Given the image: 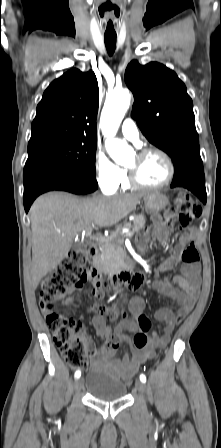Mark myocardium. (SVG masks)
I'll list each match as a JSON object with an SVG mask.
<instances>
[{
  "mask_svg": "<svg viewBox=\"0 0 221 448\" xmlns=\"http://www.w3.org/2000/svg\"><path fill=\"white\" fill-rule=\"evenodd\" d=\"M152 153L159 154L160 156L163 157V159L167 163L168 168H169V175H168L167 179L164 182H162L161 184L149 185V184L144 183L139 178L137 173L133 169L128 167L127 168L128 169V181L131 186H133L135 188H142V189H161V188L168 186L173 181L175 174H176V166H175L173 159L167 152H165L164 150L157 148V147H146V148L141 149L137 153V156L139 158H143Z\"/></svg>",
  "mask_w": 221,
  "mask_h": 448,
  "instance_id": "myocardium-1",
  "label": "myocardium"
}]
</instances>
